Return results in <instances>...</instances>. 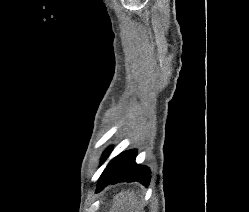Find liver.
<instances>
[{"mask_svg":"<svg viewBox=\"0 0 249 212\" xmlns=\"http://www.w3.org/2000/svg\"><path fill=\"white\" fill-rule=\"evenodd\" d=\"M136 194L137 192L134 190L115 194L110 212H141L142 206H140Z\"/></svg>","mask_w":249,"mask_h":212,"instance_id":"obj_1","label":"liver"}]
</instances>
